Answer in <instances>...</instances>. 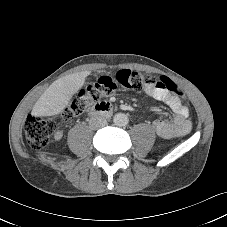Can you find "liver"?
Returning <instances> with one entry per match:
<instances>
[{"mask_svg":"<svg viewBox=\"0 0 227 227\" xmlns=\"http://www.w3.org/2000/svg\"><path fill=\"white\" fill-rule=\"evenodd\" d=\"M91 71L73 73L54 81L35 103L34 116H53L61 113L73 95L83 86Z\"/></svg>","mask_w":227,"mask_h":227,"instance_id":"6515ba94","label":"liver"}]
</instances>
